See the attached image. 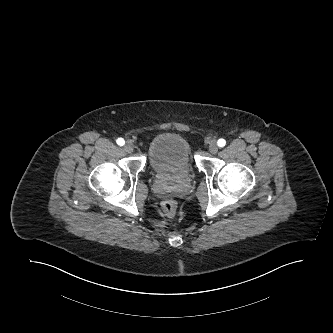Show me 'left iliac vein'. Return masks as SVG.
<instances>
[{
  "instance_id": "4c4485c4",
  "label": "left iliac vein",
  "mask_w": 333,
  "mask_h": 333,
  "mask_svg": "<svg viewBox=\"0 0 333 333\" xmlns=\"http://www.w3.org/2000/svg\"><path fill=\"white\" fill-rule=\"evenodd\" d=\"M218 149H219V147H218L216 141H211L209 144L210 153L216 154L218 152Z\"/></svg>"
}]
</instances>
